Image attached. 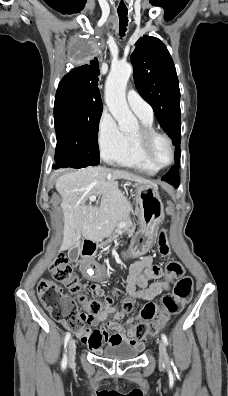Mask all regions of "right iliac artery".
I'll return each instance as SVG.
<instances>
[{"instance_id": "1", "label": "right iliac artery", "mask_w": 228, "mask_h": 396, "mask_svg": "<svg viewBox=\"0 0 228 396\" xmlns=\"http://www.w3.org/2000/svg\"><path fill=\"white\" fill-rule=\"evenodd\" d=\"M70 336H71L70 333H67L66 336H65V339H64L65 353H64V355H63V359H62V363H61V366H62L63 369L66 368V366H67L66 347H67V344H68V342H69Z\"/></svg>"}]
</instances>
